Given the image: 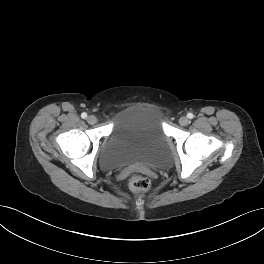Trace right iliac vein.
<instances>
[{
	"label": "right iliac vein",
	"mask_w": 264,
	"mask_h": 264,
	"mask_svg": "<svg viewBox=\"0 0 264 264\" xmlns=\"http://www.w3.org/2000/svg\"><path fill=\"white\" fill-rule=\"evenodd\" d=\"M87 122L91 125L95 124L97 122V118L94 115H90L87 118Z\"/></svg>",
	"instance_id": "1"
}]
</instances>
